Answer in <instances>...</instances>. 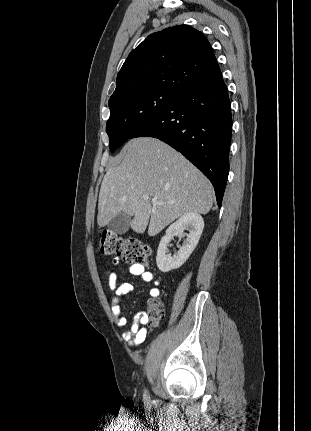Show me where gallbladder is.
Returning a JSON list of instances; mask_svg holds the SVG:
<instances>
[{"mask_svg": "<svg viewBox=\"0 0 311 431\" xmlns=\"http://www.w3.org/2000/svg\"><path fill=\"white\" fill-rule=\"evenodd\" d=\"M131 223V216H127V214H123L120 212L118 216L112 217L111 221L108 223V229H112L114 233H125L128 231Z\"/></svg>", "mask_w": 311, "mask_h": 431, "instance_id": "1", "label": "gallbladder"}]
</instances>
